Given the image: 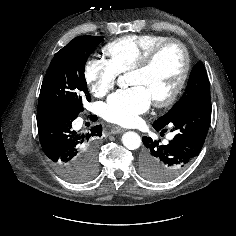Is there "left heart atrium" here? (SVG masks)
Listing matches in <instances>:
<instances>
[{
    "label": "left heart atrium",
    "mask_w": 236,
    "mask_h": 236,
    "mask_svg": "<svg viewBox=\"0 0 236 236\" xmlns=\"http://www.w3.org/2000/svg\"><path fill=\"white\" fill-rule=\"evenodd\" d=\"M152 98L142 86H133L113 94L103 109V117L118 125H133L148 110Z\"/></svg>",
    "instance_id": "39dd6f15"
}]
</instances>
